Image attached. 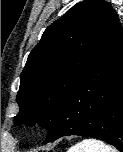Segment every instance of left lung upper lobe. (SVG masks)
<instances>
[{"mask_svg": "<svg viewBox=\"0 0 123 152\" xmlns=\"http://www.w3.org/2000/svg\"><path fill=\"white\" fill-rule=\"evenodd\" d=\"M118 24L110 3L85 0L53 22L29 54L20 76L15 125L50 131L69 91L95 59Z\"/></svg>", "mask_w": 123, "mask_h": 152, "instance_id": "5c2ea615", "label": "left lung upper lobe"}]
</instances>
